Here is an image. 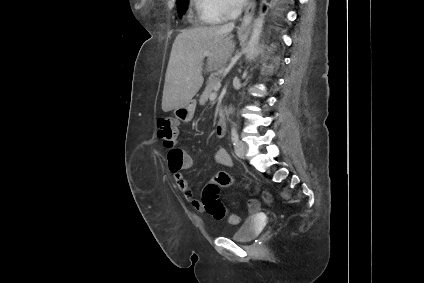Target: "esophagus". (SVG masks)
Returning <instances> with one entry per match:
<instances>
[{"label":"esophagus","instance_id":"esophagus-1","mask_svg":"<svg viewBox=\"0 0 424 283\" xmlns=\"http://www.w3.org/2000/svg\"><path fill=\"white\" fill-rule=\"evenodd\" d=\"M255 7H256V1L255 0L251 1L249 3L245 13H244L242 23L240 25L241 30L249 29L251 22H252V19H253Z\"/></svg>","mask_w":424,"mask_h":283}]
</instances>
